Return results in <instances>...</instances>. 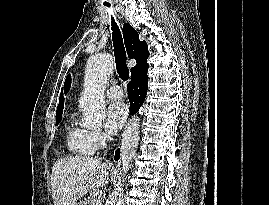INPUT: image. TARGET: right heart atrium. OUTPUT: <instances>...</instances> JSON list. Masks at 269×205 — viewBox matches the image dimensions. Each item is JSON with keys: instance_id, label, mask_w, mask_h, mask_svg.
Listing matches in <instances>:
<instances>
[{"instance_id": "right-heart-atrium-1", "label": "right heart atrium", "mask_w": 269, "mask_h": 205, "mask_svg": "<svg viewBox=\"0 0 269 205\" xmlns=\"http://www.w3.org/2000/svg\"><path fill=\"white\" fill-rule=\"evenodd\" d=\"M88 140L93 150L96 151L105 147L108 136L101 131L88 132Z\"/></svg>"}]
</instances>
